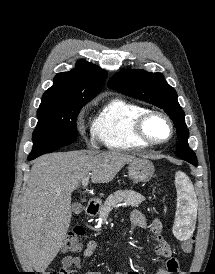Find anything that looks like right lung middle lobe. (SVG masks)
<instances>
[{
  "mask_svg": "<svg viewBox=\"0 0 215 274\" xmlns=\"http://www.w3.org/2000/svg\"><path fill=\"white\" fill-rule=\"evenodd\" d=\"M83 106L67 102L41 103L32 136L33 149L28 160L73 143L77 136L76 119Z\"/></svg>",
  "mask_w": 215,
  "mask_h": 274,
  "instance_id": "obj_1",
  "label": "right lung middle lobe"
}]
</instances>
